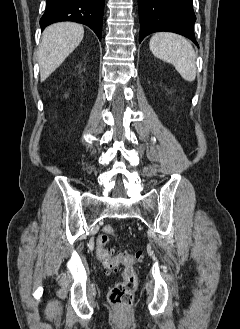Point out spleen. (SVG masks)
Wrapping results in <instances>:
<instances>
[{"mask_svg":"<svg viewBox=\"0 0 240 329\" xmlns=\"http://www.w3.org/2000/svg\"><path fill=\"white\" fill-rule=\"evenodd\" d=\"M149 47L156 57L174 65L184 80H195L196 54L186 38L174 33H155L150 39Z\"/></svg>","mask_w":240,"mask_h":329,"instance_id":"spleen-1","label":"spleen"}]
</instances>
